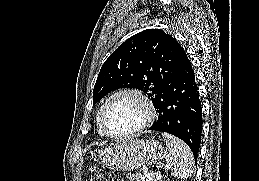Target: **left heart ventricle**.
Instances as JSON below:
<instances>
[{
    "label": "left heart ventricle",
    "instance_id": "obj_1",
    "mask_svg": "<svg viewBox=\"0 0 259 181\" xmlns=\"http://www.w3.org/2000/svg\"><path fill=\"white\" fill-rule=\"evenodd\" d=\"M144 117L145 109L142 103L134 96L123 95L108 105L105 123L112 133L124 134L139 127Z\"/></svg>",
    "mask_w": 259,
    "mask_h": 181
}]
</instances>
